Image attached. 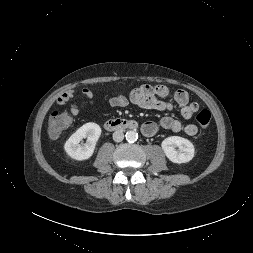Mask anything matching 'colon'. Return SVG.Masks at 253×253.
Listing matches in <instances>:
<instances>
[{"mask_svg":"<svg viewBox=\"0 0 253 253\" xmlns=\"http://www.w3.org/2000/svg\"><path fill=\"white\" fill-rule=\"evenodd\" d=\"M196 120L202 128H207L211 121V112L203 109L198 112ZM72 118L66 113L54 111L49 123V135L51 138H58L71 124Z\"/></svg>","mask_w":253,"mask_h":253,"instance_id":"5ec220e1","label":"colon"}]
</instances>
